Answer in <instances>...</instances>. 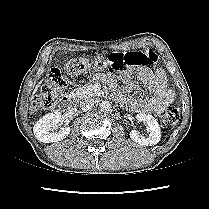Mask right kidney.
Masks as SVG:
<instances>
[{
  "label": "right kidney",
  "mask_w": 209,
  "mask_h": 209,
  "mask_svg": "<svg viewBox=\"0 0 209 209\" xmlns=\"http://www.w3.org/2000/svg\"><path fill=\"white\" fill-rule=\"evenodd\" d=\"M60 120L61 113L58 111L49 113L40 118L33 128L36 139L43 143L58 142L65 139L71 131L70 127H65L60 129L58 132H53Z\"/></svg>",
  "instance_id": "1"
}]
</instances>
